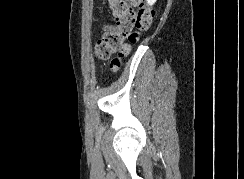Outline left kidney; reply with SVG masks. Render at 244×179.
Masks as SVG:
<instances>
[{
	"mask_svg": "<svg viewBox=\"0 0 244 179\" xmlns=\"http://www.w3.org/2000/svg\"><path fill=\"white\" fill-rule=\"evenodd\" d=\"M148 6H153L155 4L156 0H146Z\"/></svg>",
	"mask_w": 244,
	"mask_h": 179,
	"instance_id": "left-kidney-1",
	"label": "left kidney"
}]
</instances>
